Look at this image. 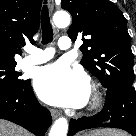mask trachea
Returning a JSON list of instances; mask_svg holds the SVG:
<instances>
[{"label":"trachea","mask_w":136,"mask_h":136,"mask_svg":"<svg viewBox=\"0 0 136 136\" xmlns=\"http://www.w3.org/2000/svg\"><path fill=\"white\" fill-rule=\"evenodd\" d=\"M41 28H42V43L47 44L53 40V30L50 23L49 12L47 8V0L44 1V6L41 12Z\"/></svg>","instance_id":"trachea-1"}]
</instances>
